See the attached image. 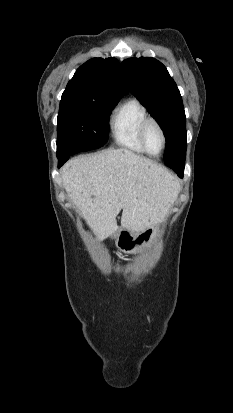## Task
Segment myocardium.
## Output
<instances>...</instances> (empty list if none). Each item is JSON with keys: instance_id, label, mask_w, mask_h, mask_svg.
Listing matches in <instances>:
<instances>
[{"instance_id": "1", "label": "myocardium", "mask_w": 233, "mask_h": 413, "mask_svg": "<svg viewBox=\"0 0 233 413\" xmlns=\"http://www.w3.org/2000/svg\"><path fill=\"white\" fill-rule=\"evenodd\" d=\"M151 124L155 125L158 128V130L160 131L161 137H162V148L157 154H153L148 150L146 140H145V134H146L147 127ZM138 134H139V141H140L144 151L148 155H150L152 157H157V156L161 155L162 152L165 150L166 144H167L166 133H165V130H164L163 126L161 125V123L157 119H155L153 117H149V116L147 118H145L142 121V123L140 124Z\"/></svg>"}]
</instances>
